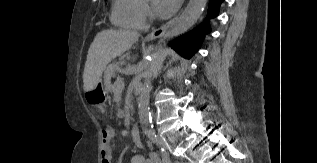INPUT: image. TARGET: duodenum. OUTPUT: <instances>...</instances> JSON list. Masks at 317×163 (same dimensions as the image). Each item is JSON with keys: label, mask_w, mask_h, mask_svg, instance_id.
<instances>
[{"label": "duodenum", "mask_w": 317, "mask_h": 163, "mask_svg": "<svg viewBox=\"0 0 317 163\" xmlns=\"http://www.w3.org/2000/svg\"><path fill=\"white\" fill-rule=\"evenodd\" d=\"M131 137H132L133 142L136 145H141L142 144L141 131H140V129L138 127L134 126L131 129Z\"/></svg>", "instance_id": "duodenum-1"}]
</instances>
